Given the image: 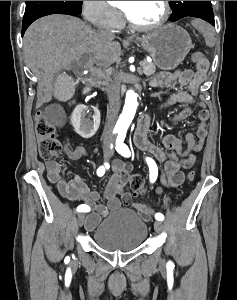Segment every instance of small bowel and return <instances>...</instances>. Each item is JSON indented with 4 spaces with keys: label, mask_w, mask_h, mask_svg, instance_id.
Instances as JSON below:
<instances>
[{
    "label": "small bowel",
    "mask_w": 237,
    "mask_h": 300,
    "mask_svg": "<svg viewBox=\"0 0 237 300\" xmlns=\"http://www.w3.org/2000/svg\"><path fill=\"white\" fill-rule=\"evenodd\" d=\"M208 71V63L206 65H196V70L178 69L174 72H161L155 74L150 81L152 86L179 85L187 86L186 91H176L171 93L158 109H164L176 103L186 105L174 118V121L186 119L191 114V106L194 103V97L198 94L201 85L206 79ZM200 111L198 114L200 124L196 134L189 133L186 136V146L182 140L174 135L167 134L161 139V148L152 143L148 138L152 114L150 111L141 114L137 120L136 128L133 133V142L135 146L151 155L154 159L162 162V184L166 187H176L184 181V170L192 167L195 162L194 152L200 151L207 137L206 122L209 119V112L204 103L199 104ZM66 154L72 160H78L82 156L87 155V151L83 147L75 149L66 148ZM130 168L124 162L116 161L112 166V174L108 180L104 190V199L107 204L100 203V193L91 190L82 180L75 174L71 179H65L61 173L60 164L56 161H48L46 163L48 180L56 186L59 193L70 201H82L90 208L85 222L88 230L95 228L101 219L107 215L108 211H116L121 208L122 202L128 203L130 195H125L123 201L118 198L119 180L123 172ZM162 187L157 189L158 193H162ZM134 208L139 211L145 218L147 207L141 203H134Z\"/></svg>",
    "instance_id": "c3829d8e"
}]
</instances>
